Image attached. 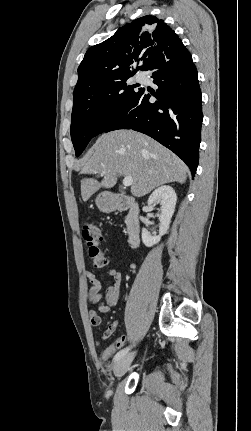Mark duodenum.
Returning a JSON list of instances; mask_svg holds the SVG:
<instances>
[{"mask_svg": "<svg viewBox=\"0 0 251 431\" xmlns=\"http://www.w3.org/2000/svg\"><path fill=\"white\" fill-rule=\"evenodd\" d=\"M110 208L112 210L126 211V232L128 241L131 247H135L139 242V207L134 199L125 195H114L110 201Z\"/></svg>", "mask_w": 251, "mask_h": 431, "instance_id": "duodenum-1", "label": "duodenum"}]
</instances>
